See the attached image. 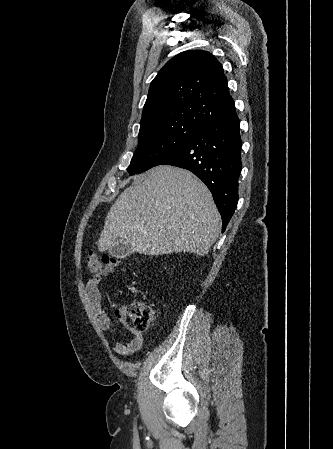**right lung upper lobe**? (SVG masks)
I'll list each match as a JSON object with an SVG mask.
<instances>
[{
    "instance_id": "cb5924a9",
    "label": "right lung upper lobe",
    "mask_w": 333,
    "mask_h": 449,
    "mask_svg": "<svg viewBox=\"0 0 333 449\" xmlns=\"http://www.w3.org/2000/svg\"><path fill=\"white\" fill-rule=\"evenodd\" d=\"M233 110L221 64L207 51L189 50L169 60L151 82L139 134L171 123L204 127Z\"/></svg>"
}]
</instances>
